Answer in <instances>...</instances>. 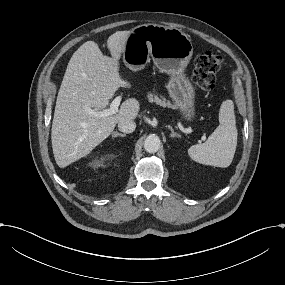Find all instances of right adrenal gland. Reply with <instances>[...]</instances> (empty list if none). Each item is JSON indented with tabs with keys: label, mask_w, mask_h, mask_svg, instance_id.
<instances>
[{
	"label": "right adrenal gland",
	"mask_w": 285,
	"mask_h": 285,
	"mask_svg": "<svg viewBox=\"0 0 285 285\" xmlns=\"http://www.w3.org/2000/svg\"><path fill=\"white\" fill-rule=\"evenodd\" d=\"M118 136L125 137L126 134H122V133H119L117 131L112 132V138H115V137H118Z\"/></svg>",
	"instance_id": "obj_1"
}]
</instances>
